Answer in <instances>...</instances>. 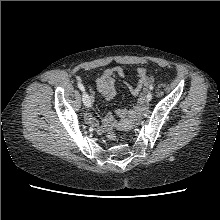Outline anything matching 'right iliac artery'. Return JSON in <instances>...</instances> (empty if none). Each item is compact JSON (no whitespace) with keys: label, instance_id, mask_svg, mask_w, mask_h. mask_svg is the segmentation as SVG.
I'll return each instance as SVG.
<instances>
[{"label":"right iliac artery","instance_id":"right-iliac-artery-1","mask_svg":"<svg viewBox=\"0 0 220 220\" xmlns=\"http://www.w3.org/2000/svg\"><path fill=\"white\" fill-rule=\"evenodd\" d=\"M77 85L81 91H85L84 86L80 82H78Z\"/></svg>","mask_w":220,"mask_h":220}]
</instances>
